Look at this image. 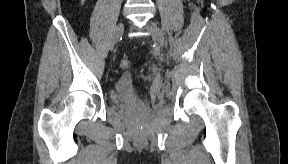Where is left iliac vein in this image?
<instances>
[{
	"label": "left iliac vein",
	"instance_id": "obj_1",
	"mask_svg": "<svg viewBox=\"0 0 288 164\" xmlns=\"http://www.w3.org/2000/svg\"><path fill=\"white\" fill-rule=\"evenodd\" d=\"M148 30L151 32L154 41L158 44L159 47H163L165 43L164 33L161 28L154 22L150 21L147 24Z\"/></svg>",
	"mask_w": 288,
	"mask_h": 164
}]
</instances>
